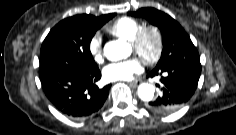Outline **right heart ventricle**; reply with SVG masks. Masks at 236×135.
Returning a JSON list of instances; mask_svg holds the SVG:
<instances>
[{
	"label": "right heart ventricle",
	"instance_id": "obj_1",
	"mask_svg": "<svg viewBox=\"0 0 236 135\" xmlns=\"http://www.w3.org/2000/svg\"><path fill=\"white\" fill-rule=\"evenodd\" d=\"M142 28V23L132 17H121L107 27V31L121 39L131 42L137 32Z\"/></svg>",
	"mask_w": 236,
	"mask_h": 135
}]
</instances>
